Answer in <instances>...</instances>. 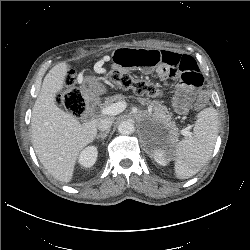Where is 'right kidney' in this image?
Wrapping results in <instances>:
<instances>
[{"label": "right kidney", "mask_w": 250, "mask_h": 250, "mask_svg": "<svg viewBox=\"0 0 250 250\" xmlns=\"http://www.w3.org/2000/svg\"><path fill=\"white\" fill-rule=\"evenodd\" d=\"M97 147L88 146L79 155V164L83 167L89 168L94 165L97 159Z\"/></svg>", "instance_id": "ca27d5eb"}]
</instances>
